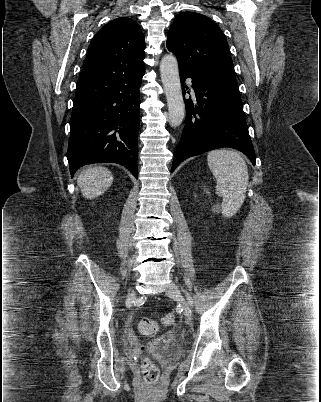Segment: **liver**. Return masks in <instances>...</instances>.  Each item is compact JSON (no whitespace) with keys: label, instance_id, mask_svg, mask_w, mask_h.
I'll return each instance as SVG.
<instances>
[{"label":"liver","instance_id":"obj_1","mask_svg":"<svg viewBox=\"0 0 321 402\" xmlns=\"http://www.w3.org/2000/svg\"><path fill=\"white\" fill-rule=\"evenodd\" d=\"M77 183L83 196L93 199L109 189L113 183V175L105 167H92L80 173Z\"/></svg>","mask_w":321,"mask_h":402}]
</instances>
